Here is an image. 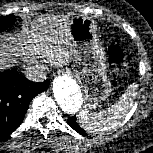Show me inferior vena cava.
<instances>
[{"mask_svg": "<svg viewBox=\"0 0 153 153\" xmlns=\"http://www.w3.org/2000/svg\"><path fill=\"white\" fill-rule=\"evenodd\" d=\"M25 75L31 81L40 82L47 78L46 67L44 64L29 65L25 68Z\"/></svg>", "mask_w": 153, "mask_h": 153, "instance_id": "obj_1", "label": "inferior vena cava"}]
</instances>
